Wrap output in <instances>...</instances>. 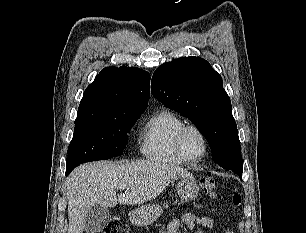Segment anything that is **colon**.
I'll return each instance as SVG.
<instances>
[{"instance_id":"obj_1","label":"colon","mask_w":306,"mask_h":233,"mask_svg":"<svg viewBox=\"0 0 306 233\" xmlns=\"http://www.w3.org/2000/svg\"><path fill=\"white\" fill-rule=\"evenodd\" d=\"M200 186L203 192L208 196H213L216 190V183L213 177H205L200 181ZM232 201L235 205H238L241 201L240 195L235 192ZM119 227V218L112 216L107 224L98 233H117Z\"/></svg>"}]
</instances>
